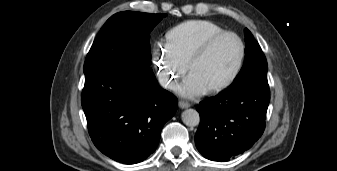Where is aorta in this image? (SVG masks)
Wrapping results in <instances>:
<instances>
[{
  "label": "aorta",
  "mask_w": 337,
  "mask_h": 171,
  "mask_svg": "<svg viewBox=\"0 0 337 171\" xmlns=\"http://www.w3.org/2000/svg\"><path fill=\"white\" fill-rule=\"evenodd\" d=\"M182 121L187 126H197L200 122L199 113L194 109H187L182 113Z\"/></svg>",
  "instance_id": "aorta-1"
}]
</instances>
